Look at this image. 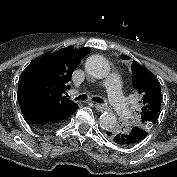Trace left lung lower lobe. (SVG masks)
Returning <instances> with one entry per match:
<instances>
[{
  "instance_id": "1",
  "label": "left lung lower lobe",
  "mask_w": 177,
  "mask_h": 177,
  "mask_svg": "<svg viewBox=\"0 0 177 177\" xmlns=\"http://www.w3.org/2000/svg\"><path fill=\"white\" fill-rule=\"evenodd\" d=\"M110 139L120 146H134L147 136L148 132L138 126L131 128H118L107 133Z\"/></svg>"
}]
</instances>
